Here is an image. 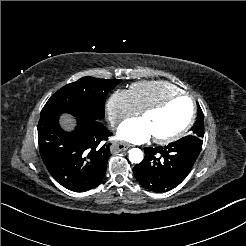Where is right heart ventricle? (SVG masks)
<instances>
[{"instance_id": "1", "label": "right heart ventricle", "mask_w": 246, "mask_h": 246, "mask_svg": "<svg viewBox=\"0 0 246 246\" xmlns=\"http://www.w3.org/2000/svg\"><path fill=\"white\" fill-rule=\"evenodd\" d=\"M128 92L136 112L181 93L175 85L164 81L136 82L130 85Z\"/></svg>"}]
</instances>
